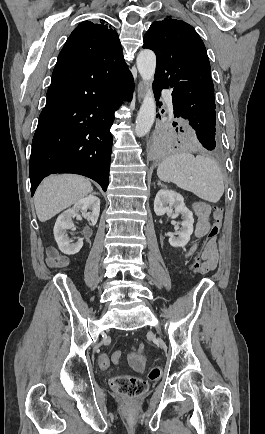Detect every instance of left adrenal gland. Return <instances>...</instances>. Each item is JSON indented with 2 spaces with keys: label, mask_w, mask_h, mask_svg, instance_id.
<instances>
[{
  "label": "left adrenal gland",
  "mask_w": 265,
  "mask_h": 434,
  "mask_svg": "<svg viewBox=\"0 0 265 434\" xmlns=\"http://www.w3.org/2000/svg\"><path fill=\"white\" fill-rule=\"evenodd\" d=\"M157 186H161V188H165V186H163V184H161V182H158Z\"/></svg>",
  "instance_id": "left-adrenal-gland-1"
}]
</instances>
